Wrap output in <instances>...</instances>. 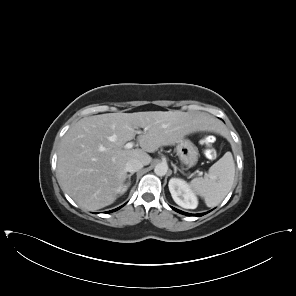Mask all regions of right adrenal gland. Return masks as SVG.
I'll return each instance as SVG.
<instances>
[{
	"label": "right adrenal gland",
	"mask_w": 296,
	"mask_h": 296,
	"mask_svg": "<svg viewBox=\"0 0 296 296\" xmlns=\"http://www.w3.org/2000/svg\"><path fill=\"white\" fill-rule=\"evenodd\" d=\"M133 174H134V173H130V174L127 175V178H128V180H129V182H130V180H131V176H132Z\"/></svg>",
	"instance_id": "2a0ac1e0"
}]
</instances>
